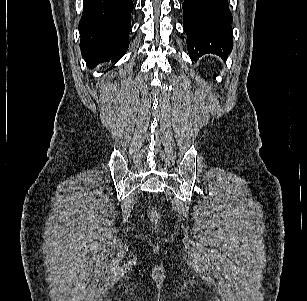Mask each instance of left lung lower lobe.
Returning <instances> with one entry per match:
<instances>
[{"instance_id":"0a47b994","label":"left lung lower lobe","mask_w":307,"mask_h":301,"mask_svg":"<svg viewBox=\"0 0 307 301\" xmlns=\"http://www.w3.org/2000/svg\"><path fill=\"white\" fill-rule=\"evenodd\" d=\"M183 27L191 60L206 53L226 59L233 48L228 0H184Z\"/></svg>"}]
</instances>
